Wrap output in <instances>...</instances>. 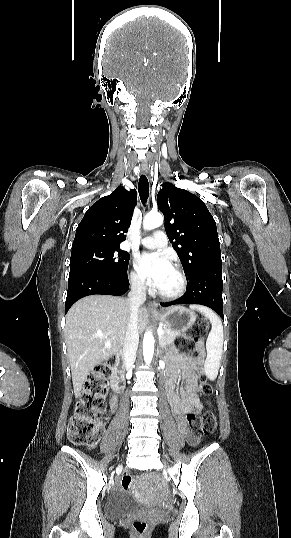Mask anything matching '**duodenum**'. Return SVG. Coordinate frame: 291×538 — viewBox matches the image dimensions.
<instances>
[{
  "label": "duodenum",
  "instance_id": "1",
  "mask_svg": "<svg viewBox=\"0 0 291 538\" xmlns=\"http://www.w3.org/2000/svg\"><path fill=\"white\" fill-rule=\"evenodd\" d=\"M116 363L112 365V368L116 370V373H121V370L124 368L125 357L118 355L116 357ZM109 385L115 392H122L124 390V383L120 377L114 376L109 380Z\"/></svg>",
  "mask_w": 291,
  "mask_h": 538
}]
</instances>
